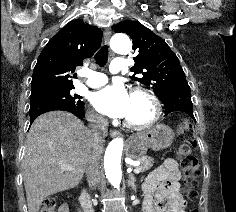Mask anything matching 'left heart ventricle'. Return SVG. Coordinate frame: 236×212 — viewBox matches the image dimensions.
Returning <instances> with one entry per match:
<instances>
[{
  "mask_svg": "<svg viewBox=\"0 0 236 212\" xmlns=\"http://www.w3.org/2000/svg\"><path fill=\"white\" fill-rule=\"evenodd\" d=\"M151 115L150 104L140 96H131L130 110L126 119L132 122H144Z\"/></svg>",
  "mask_w": 236,
  "mask_h": 212,
  "instance_id": "b2bd125f",
  "label": "left heart ventricle"
}]
</instances>
